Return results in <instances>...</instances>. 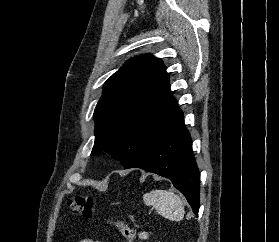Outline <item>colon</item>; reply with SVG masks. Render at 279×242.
<instances>
[{
	"instance_id": "colon-1",
	"label": "colon",
	"mask_w": 279,
	"mask_h": 242,
	"mask_svg": "<svg viewBox=\"0 0 279 242\" xmlns=\"http://www.w3.org/2000/svg\"><path fill=\"white\" fill-rule=\"evenodd\" d=\"M67 205L75 214H79L87 219L91 218L96 211L93 199L83 195H76L69 199ZM107 223L116 229L119 234L129 240V242L133 241L135 231L132 227L113 218H108Z\"/></svg>"
}]
</instances>
